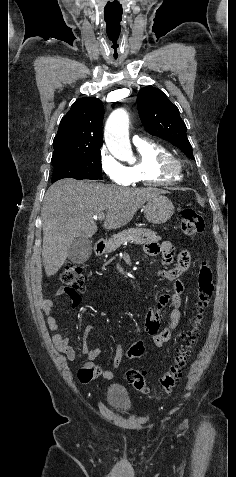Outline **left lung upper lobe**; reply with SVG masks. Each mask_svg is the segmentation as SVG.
I'll use <instances>...</instances> for the list:
<instances>
[{
	"instance_id": "5c2ea615",
	"label": "left lung upper lobe",
	"mask_w": 236,
	"mask_h": 477,
	"mask_svg": "<svg viewBox=\"0 0 236 477\" xmlns=\"http://www.w3.org/2000/svg\"><path fill=\"white\" fill-rule=\"evenodd\" d=\"M137 106L141 122L148 133L171 142L195 160L186 135V125L178 108L165 93L154 87H144L137 96Z\"/></svg>"
}]
</instances>
